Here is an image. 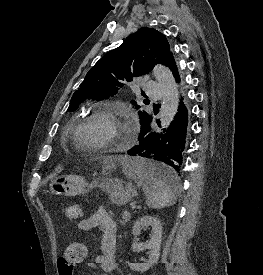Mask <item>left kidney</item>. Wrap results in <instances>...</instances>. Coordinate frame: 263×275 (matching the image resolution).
Wrapping results in <instances>:
<instances>
[{"label": "left kidney", "mask_w": 263, "mask_h": 275, "mask_svg": "<svg viewBox=\"0 0 263 275\" xmlns=\"http://www.w3.org/2000/svg\"><path fill=\"white\" fill-rule=\"evenodd\" d=\"M147 226H151L153 229L150 240H148L146 243H138L136 241V237L140 234L141 230ZM132 233L134 236V242L132 244L133 251H140L145 249L150 250L149 259L146 263L128 264L131 270L143 273L149 270L153 264L157 263L159 259L162 238V225L157 217L143 216L135 222Z\"/></svg>", "instance_id": "1"}]
</instances>
